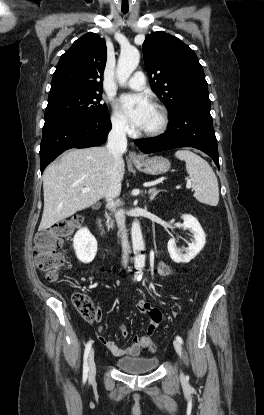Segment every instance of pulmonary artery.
I'll use <instances>...</instances> for the list:
<instances>
[{"mask_svg":"<svg viewBox=\"0 0 264 415\" xmlns=\"http://www.w3.org/2000/svg\"><path fill=\"white\" fill-rule=\"evenodd\" d=\"M126 85L133 90H142L146 86V80L144 73L137 71L133 76L127 81Z\"/></svg>","mask_w":264,"mask_h":415,"instance_id":"1","label":"pulmonary artery"}]
</instances>
